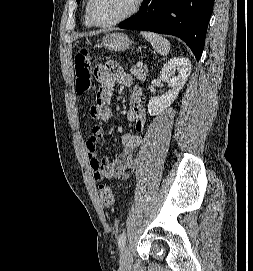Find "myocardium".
<instances>
[{
	"instance_id": "myocardium-1",
	"label": "myocardium",
	"mask_w": 253,
	"mask_h": 271,
	"mask_svg": "<svg viewBox=\"0 0 253 271\" xmlns=\"http://www.w3.org/2000/svg\"><path fill=\"white\" fill-rule=\"evenodd\" d=\"M143 1L144 0H135L133 6L131 7V9L127 13H125L121 17H119L111 22H108V23H101L96 19L95 15L93 13L94 0H88L87 12H88V16L94 26L100 27V28H110V27L118 25V24L122 23L123 21L134 16L140 10V8L143 4Z\"/></svg>"
}]
</instances>
